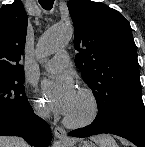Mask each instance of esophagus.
<instances>
[{"label":"esophagus","instance_id":"obj_1","mask_svg":"<svg viewBox=\"0 0 145 147\" xmlns=\"http://www.w3.org/2000/svg\"><path fill=\"white\" fill-rule=\"evenodd\" d=\"M54 135L57 139H59L62 142H67L69 141V138L67 136L66 131L62 127H55L54 129Z\"/></svg>","mask_w":145,"mask_h":147}]
</instances>
